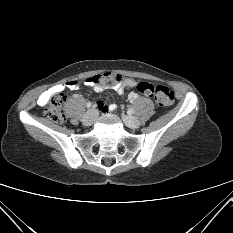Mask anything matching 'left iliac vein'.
I'll list each match as a JSON object with an SVG mask.
<instances>
[{"label":"left iliac vein","instance_id":"1","mask_svg":"<svg viewBox=\"0 0 233 233\" xmlns=\"http://www.w3.org/2000/svg\"><path fill=\"white\" fill-rule=\"evenodd\" d=\"M123 120L128 127L133 129L138 128L140 125L138 118L131 115H123Z\"/></svg>","mask_w":233,"mask_h":233}]
</instances>
